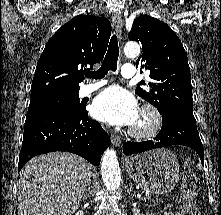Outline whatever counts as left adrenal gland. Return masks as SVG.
<instances>
[{
  "label": "left adrenal gland",
  "instance_id": "obj_1",
  "mask_svg": "<svg viewBox=\"0 0 221 215\" xmlns=\"http://www.w3.org/2000/svg\"><path fill=\"white\" fill-rule=\"evenodd\" d=\"M129 190L128 191H133V187H132V184H131V182L129 183Z\"/></svg>",
  "mask_w": 221,
  "mask_h": 215
}]
</instances>
